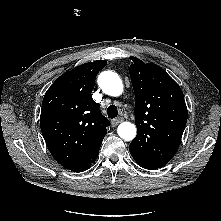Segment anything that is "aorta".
I'll return each mask as SVG.
<instances>
[{
    "label": "aorta",
    "mask_w": 221,
    "mask_h": 221,
    "mask_svg": "<svg viewBox=\"0 0 221 221\" xmlns=\"http://www.w3.org/2000/svg\"><path fill=\"white\" fill-rule=\"evenodd\" d=\"M98 85L102 91L110 96H119L123 92V83L117 73L104 71L98 77ZM118 135L125 141H131L136 136V127L129 122H123L118 126Z\"/></svg>",
    "instance_id": "obj_1"
}]
</instances>
